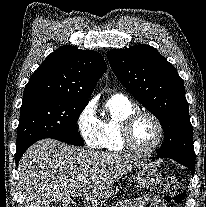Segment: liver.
<instances>
[{
  "instance_id": "6515ba94",
  "label": "liver",
  "mask_w": 206,
  "mask_h": 207,
  "mask_svg": "<svg viewBox=\"0 0 206 207\" xmlns=\"http://www.w3.org/2000/svg\"><path fill=\"white\" fill-rule=\"evenodd\" d=\"M139 161L43 139L32 145L18 164L24 207H49L84 197L88 207H101L111 186Z\"/></svg>"
}]
</instances>
